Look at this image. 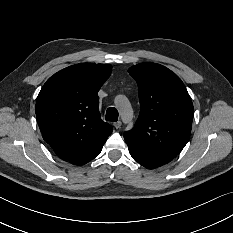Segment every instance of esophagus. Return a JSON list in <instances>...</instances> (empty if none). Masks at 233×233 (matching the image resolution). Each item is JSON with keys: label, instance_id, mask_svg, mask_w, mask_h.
Segmentation results:
<instances>
[{"label": "esophagus", "instance_id": "esophagus-1", "mask_svg": "<svg viewBox=\"0 0 233 233\" xmlns=\"http://www.w3.org/2000/svg\"><path fill=\"white\" fill-rule=\"evenodd\" d=\"M113 125L116 129H119L121 127L122 123H121V121H117V122H114Z\"/></svg>", "mask_w": 233, "mask_h": 233}]
</instances>
